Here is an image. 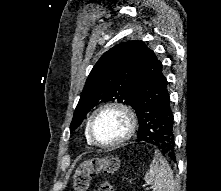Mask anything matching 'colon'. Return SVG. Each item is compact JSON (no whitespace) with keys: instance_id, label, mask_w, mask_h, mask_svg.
I'll return each instance as SVG.
<instances>
[{"instance_id":"obj_1","label":"colon","mask_w":221,"mask_h":191,"mask_svg":"<svg viewBox=\"0 0 221 191\" xmlns=\"http://www.w3.org/2000/svg\"><path fill=\"white\" fill-rule=\"evenodd\" d=\"M120 161L115 156L94 157L82 162L73 176L74 191H87L92 178L96 175L111 177L119 170ZM98 191H115L109 180L103 181Z\"/></svg>"}]
</instances>
